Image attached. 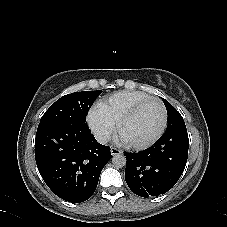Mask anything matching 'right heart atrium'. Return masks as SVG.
Returning <instances> with one entry per match:
<instances>
[{
	"instance_id": "1",
	"label": "right heart atrium",
	"mask_w": 227,
	"mask_h": 227,
	"mask_svg": "<svg viewBox=\"0 0 227 227\" xmlns=\"http://www.w3.org/2000/svg\"><path fill=\"white\" fill-rule=\"evenodd\" d=\"M87 123L95 138L101 143H106L116 130L115 124L101 113L97 105L89 112Z\"/></svg>"
}]
</instances>
